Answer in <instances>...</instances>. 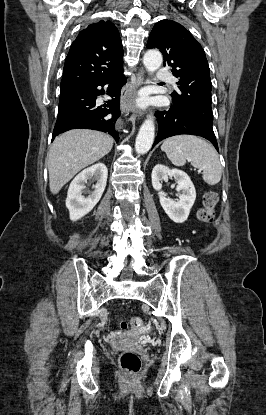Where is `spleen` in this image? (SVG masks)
<instances>
[{
    "label": "spleen",
    "mask_w": 266,
    "mask_h": 415,
    "mask_svg": "<svg viewBox=\"0 0 266 415\" xmlns=\"http://www.w3.org/2000/svg\"><path fill=\"white\" fill-rule=\"evenodd\" d=\"M161 150L177 167L189 161L193 167L203 171L202 178L209 185L220 182L222 167L216 150L206 141L193 135H178L166 139Z\"/></svg>",
    "instance_id": "obj_1"
}]
</instances>
